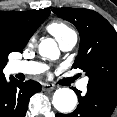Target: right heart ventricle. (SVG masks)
I'll return each instance as SVG.
<instances>
[{
	"label": "right heart ventricle",
	"mask_w": 117,
	"mask_h": 117,
	"mask_svg": "<svg viewBox=\"0 0 117 117\" xmlns=\"http://www.w3.org/2000/svg\"><path fill=\"white\" fill-rule=\"evenodd\" d=\"M48 31L53 34L57 40L62 39L74 31L62 22H52L47 27Z\"/></svg>",
	"instance_id": "1"
}]
</instances>
